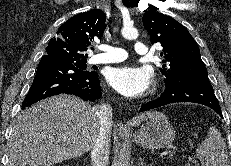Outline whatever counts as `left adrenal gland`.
Listing matches in <instances>:
<instances>
[{
    "instance_id": "left-adrenal-gland-1",
    "label": "left adrenal gland",
    "mask_w": 231,
    "mask_h": 166,
    "mask_svg": "<svg viewBox=\"0 0 231 166\" xmlns=\"http://www.w3.org/2000/svg\"><path fill=\"white\" fill-rule=\"evenodd\" d=\"M139 166H147L142 158H139ZM151 166V165H149Z\"/></svg>"
}]
</instances>
